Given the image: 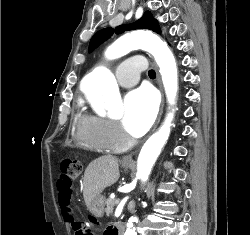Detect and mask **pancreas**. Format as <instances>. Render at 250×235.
I'll return each mask as SVG.
<instances>
[{
    "mask_svg": "<svg viewBox=\"0 0 250 235\" xmlns=\"http://www.w3.org/2000/svg\"><path fill=\"white\" fill-rule=\"evenodd\" d=\"M115 201L116 199H111V198H108L107 201H106V214L107 216H110L112 213H113V210H114V206H115Z\"/></svg>",
    "mask_w": 250,
    "mask_h": 235,
    "instance_id": "1",
    "label": "pancreas"
}]
</instances>
